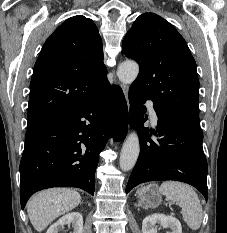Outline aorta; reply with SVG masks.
Masks as SVG:
<instances>
[{
    "label": "aorta",
    "instance_id": "762f6f07",
    "mask_svg": "<svg viewBox=\"0 0 227 233\" xmlns=\"http://www.w3.org/2000/svg\"><path fill=\"white\" fill-rule=\"evenodd\" d=\"M139 65L134 61H125L118 67L117 76L124 84H131L138 76ZM140 152L139 138L131 133L122 146L120 153V168L122 171L131 170L138 159Z\"/></svg>",
    "mask_w": 227,
    "mask_h": 233
}]
</instances>
